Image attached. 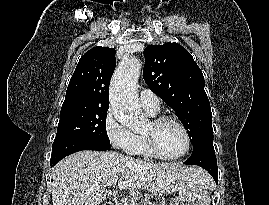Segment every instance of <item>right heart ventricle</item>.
I'll use <instances>...</instances> for the list:
<instances>
[{"mask_svg": "<svg viewBox=\"0 0 269 205\" xmlns=\"http://www.w3.org/2000/svg\"><path fill=\"white\" fill-rule=\"evenodd\" d=\"M149 113L151 115H156V113H151V112ZM134 135H135V139H134L133 145L127 152L130 155H134V156H148L149 154L147 153L145 149L142 135L140 134H134Z\"/></svg>", "mask_w": 269, "mask_h": 205, "instance_id": "e07e8e85", "label": "right heart ventricle"}]
</instances>
